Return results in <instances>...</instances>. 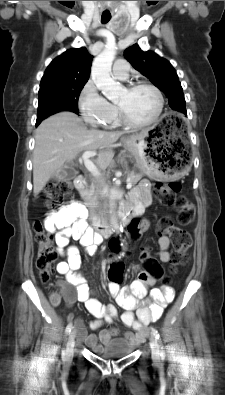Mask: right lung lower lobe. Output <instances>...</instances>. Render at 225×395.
<instances>
[{"label": "right lung lower lobe", "mask_w": 225, "mask_h": 395, "mask_svg": "<svg viewBox=\"0 0 225 395\" xmlns=\"http://www.w3.org/2000/svg\"><path fill=\"white\" fill-rule=\"evenodd\" d=\"M78 114V113H76ZM41 123V121H36V126L39 125Z\"/></svg>", "instance_id": "98d812e1"}]
</instances>
